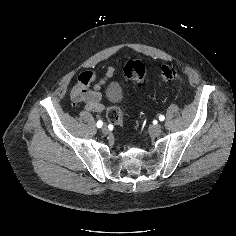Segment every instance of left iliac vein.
Instances as JSON below:
<instances>
[{"instance_id":"4c4485c4","label":"left iliac vein","mask_w":236,"mask_h":236,"mask_svg":"<svg viewBox=\"0 0 236 236\" xmlns=\"http://www.w3.org/2000/svg\"><path fill=\"white\" fill-rule=\"evenodd\" d=\"M149 132L153 136L160 135L162 133V126L161 125H153L149 128Z\"/></svg>"}]
</instances>
